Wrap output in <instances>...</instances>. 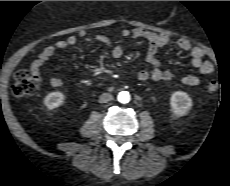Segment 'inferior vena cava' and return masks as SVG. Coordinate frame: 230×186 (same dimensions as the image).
Wrapping results in <instances>:
<instances>
[{
    "label": "inferior vena cava",
    "mask_w": 230,
    "mask_h": 186,
    "mask_svg": "<svg viewBox=\"0 0 230 186\" xmlns=\"http://www.w3.org/2000/svg\"><path fill=\"white\" fill-rule=\"evenodd\" d=\"M113 100V96L110 93H104L99 97V103H107L109 101Z\"/></svg>",
    "instance_id": "obj_1"
}]
</instances>
